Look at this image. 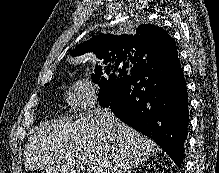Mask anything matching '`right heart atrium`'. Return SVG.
<instances>
[{
    "instance_id": "right-heart-atrium-1",
    "label": "right heart atrium",
    "mask_w": 219,
    "mask_h": 173,
    "mask_svg": "<svg viewBox=\"0 0 219 173\" xmlns=\"http://www.w3.org/2000/svg\"><path fill=\"white\" fill-rule=\"evenodd\" d=\"M98 99L95 88L86 82L76 81L67 90V102L78 113H86L93 109Z\"/></svg>"
}]
</instances>
